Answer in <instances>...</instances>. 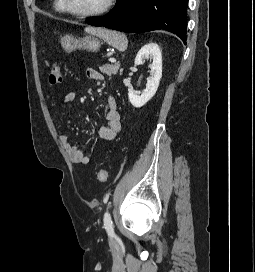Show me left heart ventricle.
Segmentation results:
<instances>
[{"mask_svg":"<svg viewBox=\"0 0 255 272\" xmlns=\"http://www.w3.org/2000/svg\"><path fill=\"white\" fill-rule=\"evenodd\" d=\"M106 0H69V5L77 12H90L99 9Z\"/></svg>","mask_w":255,"mask_h":272,"instance_id":"left-heart-ventricle-1","label":"left heart ventricle"}]
</instances>
